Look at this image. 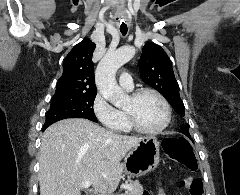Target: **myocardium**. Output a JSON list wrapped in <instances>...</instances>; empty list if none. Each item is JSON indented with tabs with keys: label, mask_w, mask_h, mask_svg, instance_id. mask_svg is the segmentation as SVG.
<instances>
[{
	"label": "myocardium",
	"mask_w": 240,
	"mask_h": 195,
	"mask_svg": "<svg viewBox=\"0 0 240 195\" xmlns=\"http://www.w3.org/2000/svg\"><path fill=\"white\" fill-rule=\"evenodd\" d=\"M146 93H151V94L155 95L159 99L160 103L163 106V110H164L163 122L161 123L160 126H158L156 128L144 127L140 123V121L138 120L137 115H136L135 105H136L137 101L140 99V97ZM129 102H130V104H129V106L124 108V112L127 116V120L129 122L130 126L137 132L142 133V134L154 135V134H158V133L162 132L169 125L170 119H171L170 106H169V103L166 100V98L159 91H157L153 88H148V87L140 88L129 97Z\"/></svg>",
	"instance_id": "1"
}]
</instances>
